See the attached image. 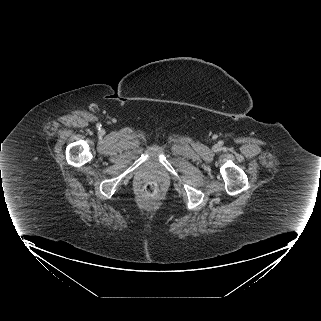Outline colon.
Returning <instances> with one entry per match:
<instances>
[{"mask_svg": "<svg viewBox=\"0 0 321 321\" xmlns=\"http://www.w3.org/2000/svg\"><path fill=\"white\" fill-rule=\"evenodd\" d=\"M158 185L155 182H148L145 186H144V193L148 196V197H154L157 193H158Z\"/></svg>", "mask_w": 321, "mask_h": 321, "instance_id": "5ec220e1", "label": "colon"}]
</instances>
